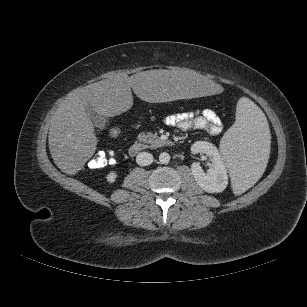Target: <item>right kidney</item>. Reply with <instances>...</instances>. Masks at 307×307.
Here are the masks:
<instances>
[{
	"label": "right kidney",
	"instance_id": "ca27d5eb",
	"mask_svg": "<svg viewBox=\"0 0 307 307\" xmlns=\"http://www.w3.org/2000/svg\"><path fill=\"white\" fill-rule=\"evenodd\" d=\"M107 181L109 183H113L115 182L116 178H117V173L116 172H110L108 175H107Z\"/></svg>",
	"mask_w": 307,
	"mask_h": 307
}]
</instances>
